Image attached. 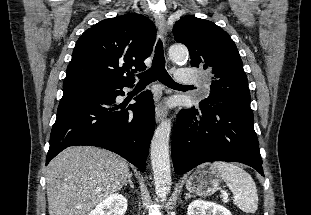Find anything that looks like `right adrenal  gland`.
Masks as SVG:
<instances>
[{
  "mask_svg": "<svg viewBox=\"0 0 311 215\" xmlns=\"http://www.w3.org/2000/svg\"><path fill=\"white\" fill-rule=\"evenodd\" d=\"M131 177H132V174H129L128 180L124 183V186H127V184H129L130 187L133 189L134 188V184H133V182L131 180Z\"/></svg>",
  "mask_w": 311,
  "mask_h": 215,
  "instance_id": "right-adrenal-gland-1",
  "label": "right adrenal gland"
}]
</instances>
